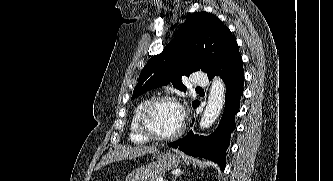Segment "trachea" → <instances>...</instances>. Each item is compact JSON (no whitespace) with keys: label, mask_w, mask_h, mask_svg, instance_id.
<instances>
[{"label":"trachea","mask_w":333,"mask_h":181,"mask_svg":"<svg viewBox=\"0 0 333 181\" xmlns=\"http://www.w3.org/2000/svg\"><path fill=\"white\" fill-rule=\"evenodd\" d=\"M196 89H202L201 87H197Z\"/></svg>","instance_id":"trachea-1"}]
</instances>
